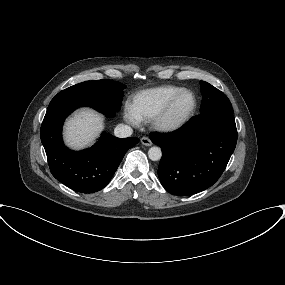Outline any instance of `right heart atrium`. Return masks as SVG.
<instances>
[{
    "label": "right heart atrium",
    "mask_w": 285,
    "mask_h": 285,
    "mask_svg": "<svg viewBox=\"0 0 285 285\" xmlns=\"http://www.w3.org/2000/svg\"><path fill=\"white\" fill-rule=\"evenodd\" d=\"M123 116H124L125 120H127L128 122H130L132 124H136L138 122V118L133 113V111L131 110L130 107H126L124 109Z\"/></svg>",
    "instance_id": "obj_1"
}]
</instances>
